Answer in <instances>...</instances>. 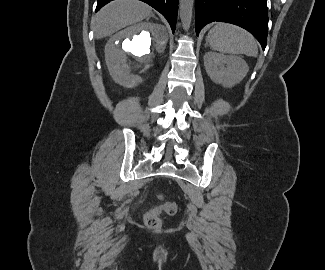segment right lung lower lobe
<instances>
[{
    "mask_svg": "<svg viewBox=\"0 0 325 270\" xmlns=\"http://www.w3.org/2000/svg\"><path fill=\"white\" fill-rule=\"evenodd\" d=\"M112 0H97L96 11ZM159 11L169 22L172 32L176 28L178 0H141Z\"/></svg>",
    "mask_w": 325,
    "mask_h": 270,
    "instance_id": "98d812e1",
    "label": "right lung lower lobe"
}]
</instances>
